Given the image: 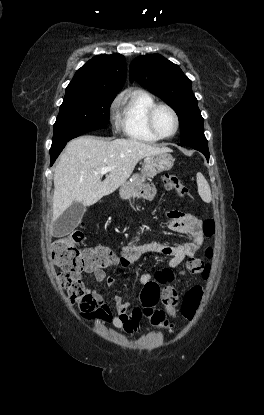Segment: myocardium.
Instances as JSON below:
<instances>
[{"mask_svg": "<svg viewBox=\"0 0 264 415\" xmlns=\"http://www.w3.org/2000/svg\"><path fill=\"white\" fill-rule=\"evenodd\" d=\"M160 108L168 109L174 117L175 128H174V131L169 135H161L156 129L155 114H156L157 110L160 109ZM146 121H147L148 129L158 140L170 139V138L174 137L177 134V132L179 130V126H180V119H179L178 113L176 112V110L172 106H170L169 104H166V103H156V104H154L147 112Z\"/></svg>", "mask_w": 264, "mask_h": 415, "instance_id": "1", "label": "myocardium"}]
</instances>
